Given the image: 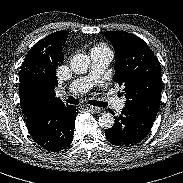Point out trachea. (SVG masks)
<instances>
[{
    "label": "trachea",
    "mask_w": 183,
    "mask_h": 183,
    "mask_svg": "<svg viewBox=\"0 0 183 183\" xmlns=\"http://www.w3.org/2000/svg\"><path fill=\"white\" fill-rule=\"evenodd\" d=\"M66 102L70 103V104H74V105H77L79 103L78 99H76V98H74L72 96H69L66 99ZM88 103L90 105H94V106H98V107H106V106H108V104L106 102H103V101L89 100Z\"/></svg>",
    "instance_id": "trachea-1"
}]
</instances>
